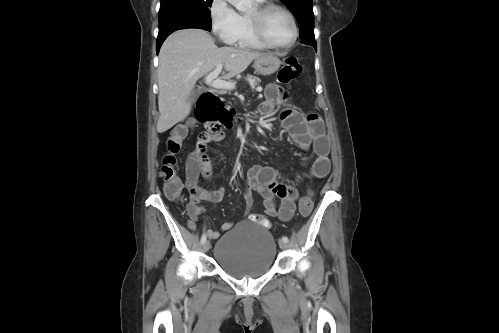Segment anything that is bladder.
Returning a JSON list of instances; mask_svg holds the SVG:
<instances>
[{
  "label": "bladder",
  "mask_w": 499,
  "mask_h": 333,
  "mask_svg": "<svg viewBox=\"0 0 499 333\" xmlns=\"http://www.w3.org/2000/svg\"><path fill=\"white\" fill-rule=\"evenodd\" d=\"M276 258V241L261 224L240 221L216 242L214 260L227 274L255 278L268 273Z\"/></svg>",
  "instance_id": "obj_1"
}]
</instances>
